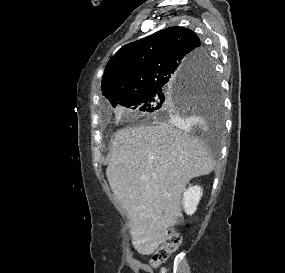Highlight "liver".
Returning <instances> with one entry per match:
<instances>
[{
  "mask_svg": "<svg viewBox=\"0 0 285 273\" xmlns=\"http://www.w3.org/2000/svg\"><path fill=\"white\" fill-rule=\"evenodd\" d=\"M173 122L186 128L182 120ZM213 170L203 144L171 124L117 131L106 175L130 218L132 244L140 254L154 253L166 240L182 215L180 198L188 182Z\"/></svg>",
  "mask_w": 285,
  "mask_h": 273,
  "instance_id": "1",
  "label": "liver"
}]
</instances>
